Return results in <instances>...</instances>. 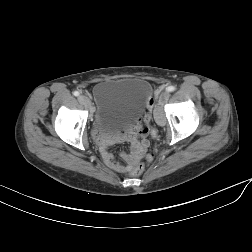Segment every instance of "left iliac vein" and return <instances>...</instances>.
Masks as SVG:
<instances>
[{
  "instance_id": "obj_1",
  "label": "left iliac vein",
  "mask_w": 252,
  "mask_h": 252,
  "mask_svg": "<svg viewBox=\"0 0 252 252\" xmlns=\"http://www.w3.org/2000/svg\"><path fill=\"white\" fill-rule=\"evenodd\" d=\"M168 98H169V93L167 91L162 92L158 98L159 104L162 105V104L166 103Z\"/></svg>"
}]
</instances>
